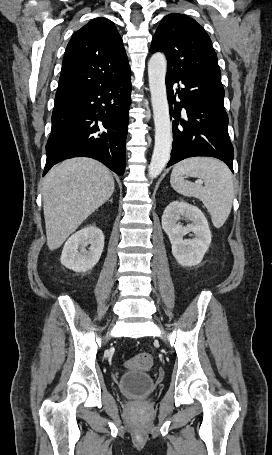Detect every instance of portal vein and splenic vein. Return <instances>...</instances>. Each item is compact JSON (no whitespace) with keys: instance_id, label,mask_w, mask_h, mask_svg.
<instances>
[{"instance_id":"1","label":"portal vein and splenic vein","mask_w":272,"mask_h":455,"mask_svg":"<svg viewBox=\"0 0 272 455\" xmlns=\"http://www.w3.org/2000/svg\"><path fill=\"white\" fill-rule=\"evenodd\" d=\"M198 183H199V184H203V182H202V181H199Z\"/></svg>"}]
</instances>
